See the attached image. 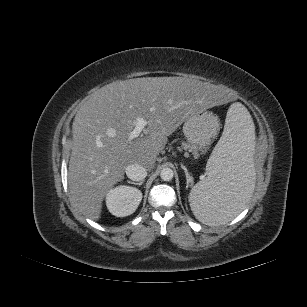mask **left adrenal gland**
<instances>
[{"label":"left adrenal gland","instance_id":"a2214340","mask_svg":"<svg viewBox=\"0 0 307 307\" xmlns=\"http://www.w3.org/2000/svg\"><path fill=\"white\" fill-rule=\"evenodd\" d=\"M182 169L184 170L185 172V175H186V184H187V187L189 186V184L192 182V177L190 176L187 168L185 166L182 165Z\"/></svg>","mask_w":307,"mask_h":307}]
</instances>
